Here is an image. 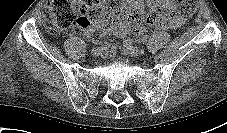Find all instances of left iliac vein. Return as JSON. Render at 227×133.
Wrapping results in <instances>:
<instances>
[{
  "label": "left iliac vein",
  "mask_w": 227,
  "mask_h": 133,
  "mask_svg": "<svg viewBox=\"0 0 227 133\" xmlns=\"http://www.w3.org/2000/svg\"><path fill=\"white\" fill-rule=\"evenodd\" d=\"M124 48L125 53H127L130 56L137 57L140 54L139 49L135 46L124 44Z\"/></svg>",
  "instance_id": "4c4485c4"
}]
</instances>
